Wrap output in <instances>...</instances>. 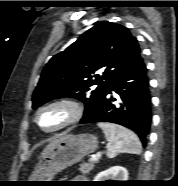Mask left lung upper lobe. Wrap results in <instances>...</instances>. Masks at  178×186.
Returning a JSON list of instances; mask_svg holds the SVG:
<instances>
[{"label": "left lung upper lobe", "instance_id": "5c2ea615", "mask_svg": "<svg viewBox=\"0 0 178 186\" xmlns=\"http://www.w3.org/2000/svg\"><path fill=\"white\" fill-rule=\"evenodd\" d=\"M137 39L124 26L99 21L44 67L33 94V108L57 98L72 97L97 107L123 72L142 61ZM100 72L101 74H95Z\"/></svg>", "mask_w": 178, "mask_h": 186}]
</instances>
